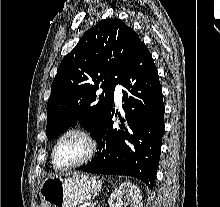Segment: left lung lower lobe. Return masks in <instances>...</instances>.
Segmentation results:
<instances>
[{
    "label": "left lung lower lobe",
    "instance_id": "1",
    "mask_svg": "<svg viewBox=\"0 0 220 207\" xmlns=\"http://www.w3.org/2000/svg\"><path fill=\"white\" fill-rule=\"evenodd\" d=\"M125 118L113 127V107L97 133L98 152L81 170L132 176L153 188L164 131V104L158 71L151 53L141 42L123 71Z\"/></svg>",
    "mask_w": 220,
    "mask_h": 207
}]
</instances>
